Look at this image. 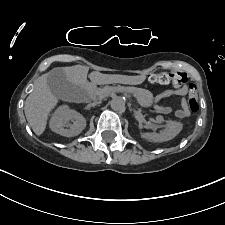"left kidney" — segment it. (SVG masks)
Listing matches in <instances>:
<instances>
[{
    "label": "left kidney",
    "instance_id": "1",
    "mask_svg": "<svg viewBox=\"0 0 225 225\" xmlns=\"http://www.w3.org/2000/svg\"><path fill=\"white\" fill-rule=\"evenodd\" d=\"M158 122H163L161 115L156 117ZM182 130V124L177 121H167V128L160 133H141V137L151 142H166L177 136Z\"/></svg>",
    "mask_w": 225,
    "mask_h": 225
}]
</instances>
